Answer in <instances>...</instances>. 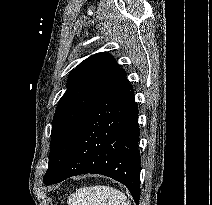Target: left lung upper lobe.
<instances>
[{"label": "left lung upper lobe", "mask_w": 212, "mask_h": 205, "mask_svg": "<svg viewBox=\"0 0 212 205\" xmlns=\"http://www.w3.org/2000/svg\"><path fill=\"white\" fill-rule=\"evenodd\" d=\"M120 66L107 52L96 53L71 71L67 91L52 121L50 157L44 183L50 185L73 145L85 117L112 83Z\"/></svg>", "instance_id": "left-lung-upper-lobe-1"}]
</instances>
